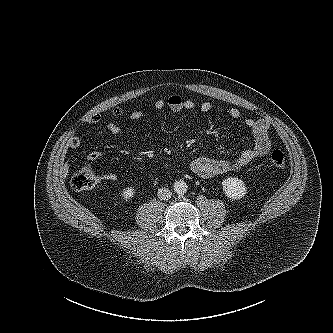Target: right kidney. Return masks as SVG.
I'll return each instance as SVG.
<instances>
[{
	"label": "right kidney",
	"mask_w": 333,
	"mask_h": 333,
	"mask_svg": "<svg viewBox=\"0 0 333 333\" xmlns=\"http://www.w3.org/2000/svg\"><path fill=\"white\" fill-rule=\"evenodd\" d=\"M135 195V189L133 187H127L122 191V198L128 201Z\"/></svg>",
	"instance_id": "1"
}]
</instances>
